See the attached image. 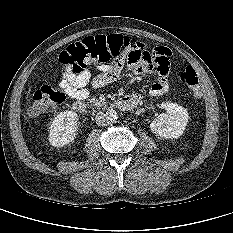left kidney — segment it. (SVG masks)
<instances>
[{"label": "left kidney", "instance_id": "5707ae66", "mask_svg": "<svg viewBox=\"0 0 233 233\" xmlns=\"http://www.w3.org/2000/svg\"><path fill=\"white\" fill-rule=\"evenodd\" d=\"M161 108L166 112L160 114L150 124L151 131L166 139L180 137L188 123L187 110L177 103L163 102Z\"/></svg>", "mask_w": 233, "mask_h": 233}]
</instances>
